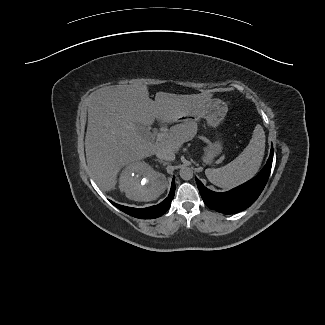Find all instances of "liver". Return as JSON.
<instances>
[{
    "label": "liver",
    "instance_id": "6515ba94",
    "mask_svg": "<svg viewBox=\"0 0 325 325\" xmlns=\"http://www.w3.org/2000/svg\"><path fill=\"white\" fill-rule=\"evenodd\" d=\"M212 96L211 93L157 92L153 101L146 85L109 86L93 92L89 98L85 137L86 160L93 180L103 190H113L123 167L137 165L162 148L179 151L196 135V122L172 126L166 139L155 143L141 136L136 125L177 120L211 100Z\"/></svg>",
    "mask_w": 325,
    "mask_h": 325
}]
</instances>
